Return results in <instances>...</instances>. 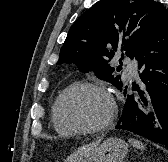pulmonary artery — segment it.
Returning <instances> with one entry per match:
<instances>
[{
	"label": "pulmonary artery",
	"instance_id": "pulmonary-artery-1",
	"mask_svg": "<svg viewBox=\"0 0 168 162\" xmlns=\"http://www.w3.org/2000/svg\"><path fill=\"white\" fill-rule=\"evenodd\" d=\"M128 67L133 77H138V62L136 60H128Z\"/></svg>",
	"mask_w": 168,
	"mask_h": 162
}]
</instances>
